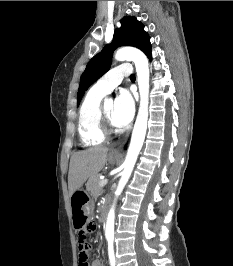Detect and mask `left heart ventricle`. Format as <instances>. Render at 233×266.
<instances>
[{
	"mask_svg": "<svg viewBox=\"0 0 233 266\" xmlns=\"http://www.w3.org/2000/svg\"><path fill=\"white\" fill-rule=\"evenodd\" d=\"M105 111H106L108 118L113 122V113H114V101L113 100H106Z\"/></svg>",
	"mask_w": 233,
	"mask_h": 266,
	"instance_id": "b2bd125f",
	"label": "left heart ventricle"
}]
</instances>
